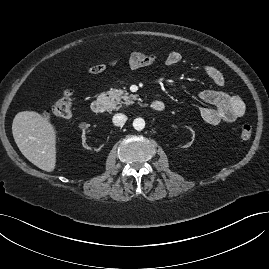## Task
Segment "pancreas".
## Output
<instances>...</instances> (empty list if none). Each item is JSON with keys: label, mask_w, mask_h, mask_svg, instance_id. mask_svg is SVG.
<instances>
[{"label": "pancreas", "mask_w": 269, "mask_h": 269, "mask_svg": "<svg viewBox=\"0 0 269 269\" xmlns=\"http://www.w3.org/2000/svg\"><path fill=\"white\" fill-rule=\"evenodd\" d=\"M107 95L109 96L110 106L112 109H120L122 104L127 106L132 104L133 100L137 99L136 95H129L127 91L121 89H111L107 91Z\"/></svg>", "instance_id": "cf45deb5"}]
</instances>
